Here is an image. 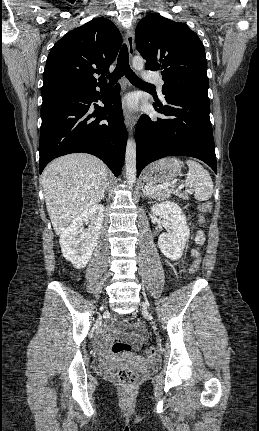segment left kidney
<instances>
[{"instance_id":"left-kidney-1","label":"left kidney","mask_w":259,"mask_h":431,"mask_svg":"<svg viewBox=\"0 0 259 431\" xmlns=\"http://www.w3.org/2000/svg\"><path fill=\"white\" fill-rule=\"evenodd\" d=\"M151 211L172 224L171 231L162 233L158 238L161 252L173 261L180 259L190 236L182 209L174 202L164 201L153 205Z\"/></svg>"}]
</instances>
